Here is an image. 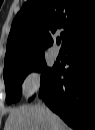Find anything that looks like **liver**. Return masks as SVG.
Returning <instances> with one entry per match:
<instances>
[{
    "instance_id": "1",
    "label": "liver",
    "mask_w": 95,
    "mask_h": 130,
    "mask_svg": "<svg viewBox=\"0 0 95 130\" xmlns=\"http://www.w3.org/2000/svg\"><path fill=\"white\" fill-rule=\"evenodd\" d=\"M4 130H70L56 114L47 112L44 105H26L12 109Z\"/></svg>"
}]
</instances>
